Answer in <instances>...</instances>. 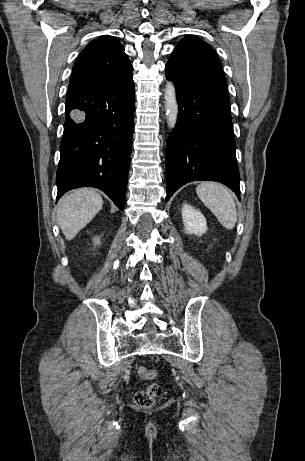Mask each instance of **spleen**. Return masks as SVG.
<instances>
[{
    "label": "spleen",
    "instance_id": "spleen-1",
    "mask_svg": "<svg viewBox=\"0 0 305 461\" xmlns=\"http://www.w3.org/2000/svg\"><path fill=\"white\" fill-rule=\"evenodd\" d=\"M196 193L222 226L229 230L235 227L236 204L232 193L225 186L216 182H203L197 186Z\"/></svg>",
    "mask_w": 305,
    "mask_h": 461
}]
</instances>
